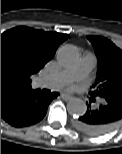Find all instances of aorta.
<instances>
[{"label":"aorta","mask_w":122,"mask_h":154,"mask_svg":"<svg viewBox=\"0 0 122 154\" xmlns=\"http://www.w3.org/2000/svg\"><path fill=\"white\" fill-rule=\"evenodd\" d=\"M79 59V53L76 47L65 45L58 49L57 60L63 66H72ZM68 113L74 116L85 114L87 107L85 102L80 98H72L67 103Z\"/></svg>","instance_id":"aorta-1"}]
</instances>
